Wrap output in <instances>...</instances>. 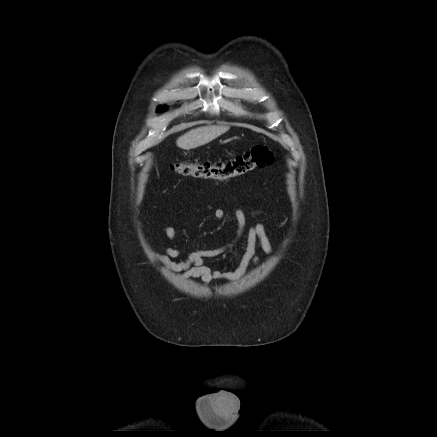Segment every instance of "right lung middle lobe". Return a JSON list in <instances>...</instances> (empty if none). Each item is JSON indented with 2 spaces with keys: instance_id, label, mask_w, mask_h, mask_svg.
Wrapping results in <instances>:
<instances>
[{
  "instance_id": "obj_1",
  "label": "right lung middle lobe",
  "mask_w": 437,
  "mask_h": 437,
  "mask_svg": "<svg viewBox=\"0 0 437 437\" xmlns=\"http://www.w3.org/2000/svg\"><path fill=\"white\" fill-rule=\"evenodd\" d=\"M164 110H165V108L161 107V108L158 109V112H161V111H164Z\"/></svg>"
}]
</instances>
